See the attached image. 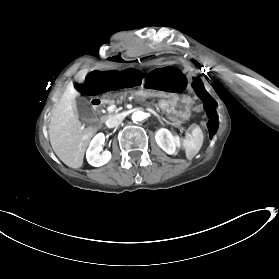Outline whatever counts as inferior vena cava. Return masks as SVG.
Here are the masks:
<instances>
[{
	"instance_id": "1",
	"label": "inferior vena cava",
	"mask_w": 279,
	"mask_h": 279,
	"mask_svg": "<svg viewBox=\"0 0 279 279\" xmlns=\"http://www.w3.org/2000/svg\"><path fill=\"white\" fill-rule=\"evenodd\" d=\"M109 119L106 121V125L109 127V128H113V127H117L119 125V122L121 120H123V118L121 116H119V114L115 115V116H109L108 117Z\"/></svg>"
}]
</instances>
